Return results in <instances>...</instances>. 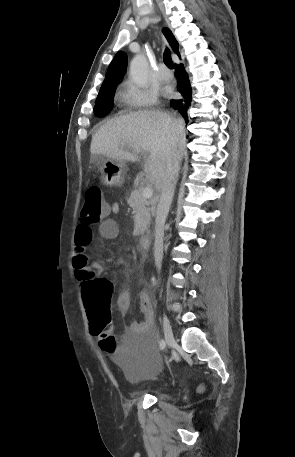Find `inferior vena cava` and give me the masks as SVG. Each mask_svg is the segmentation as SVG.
Here are the masks:
<instances>
[{"label": "inferior vena cava", "instance_id": "inferior-vena-cava-1", "mask_svg": "<svg viewBox=\"0 0 295 457\" xmlns=\"http://www.w3.org/2000/svg\"><path fill=\"white\" fill-rule=\"evenodd\" d=\"M180 154L177 152L168 160L167 169L160 184V199L156 208L154 259L158 272L161 270L163 259L164 225L172 203L175 184L179 172Z\"/></svg>", "mask_w": 295, "mask_h": 457}]
</instances>
